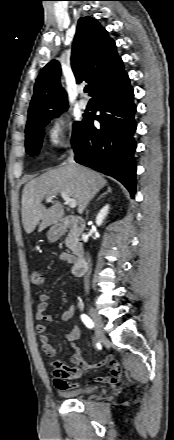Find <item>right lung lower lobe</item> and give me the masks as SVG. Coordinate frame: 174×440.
Here are the masks:
<instances>
[{
  "label": "right lung lower lobe",
  "instance_id": "obj_1",
  "mask_svg": "<svg viewBox=\"0 0 174 440\" xmlns=\"http://www.w3.org/2000/svg\"><path fill=\"white\" fill-rule=\"evenodd\" d=\"M102 113L85 114L72 139L75 160L79 164L112 176L135 194L136 131L133 89L122 61L100 82L91 95ZM93 120L100 122L95 127Z\"/></svg>",
  "mask_w": 174,
  "mask_h": 440
}]
</instances>
